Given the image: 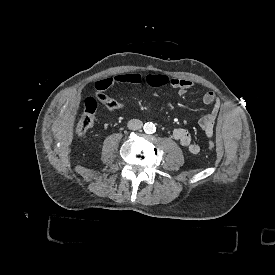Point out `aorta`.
I'll return each instance as SVG.
<instances>
[{
  "instance_id": "762f6f07",
  "label": "aorta",
  "mask_w": 275,
  "mask_h": 275,
  "mask_svg": "<svg viewBox=\"0 0 275 275\" xmlns=\"http://www.w3.org/2000/svg\"><path fill=\"white\" fill-rule=\"evenodd\" d=\"M144 131L145 133L147 134H152L156 131V127H155V124L152 123V122H147L145 123L144 125Z\"/></svg>"
}]
</instances>
